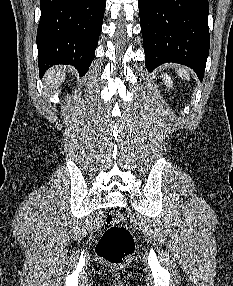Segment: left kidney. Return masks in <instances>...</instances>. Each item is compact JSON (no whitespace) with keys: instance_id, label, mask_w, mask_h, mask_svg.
I'll return each mask as SVG.
<instances>
[{"instance_id":"5707ae66","label":"left kidney","mask_w":233,"mask_h":286,"mask_svg":"<svg viewBox=\"0 0 233 286\" xmlns=\"http://www.w3.org/2000/svg\"><path fill=\"white\" fill-rule=\"evenodd\" d=\"M163 81L168 88H172L173 82L167 74H162Z\"/></svg>"}]
</instances>
